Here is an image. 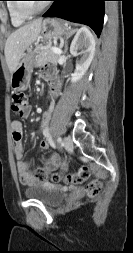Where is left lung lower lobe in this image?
<instances>
[{
  "mask_svg": "<svg viewBox=\"0 0 133 253\" xmlns=\"http://www.w3.org/2000/svg\"><path fill=\"white\" fill-rule=\"evenodd\" d=\"M54 3L43 17H59L90 26L100 36L106 0H52Z\"/></svg>",
  "mask_w": 133,
  "mask_h": 253,
  "instance_id": "1",
  "label": "left lung lower lobe"
}]
</instances>
